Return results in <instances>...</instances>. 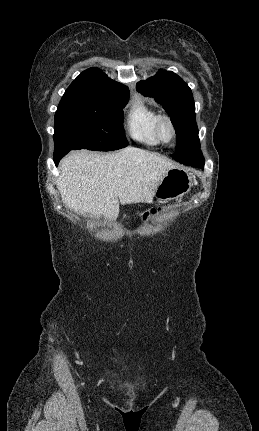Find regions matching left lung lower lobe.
<instances>
[{
	"label": "left lung lower lobe",
	"mask_w": 259,
	"mask_h": 431,
	"mask_svg": "<svg viewBox=\"0 0 259 431\" xmlns=\"http://www.w3.org/2000/svg\"><path fill=\"white\" fill-rule=\"evenodd\" d=\"M197 166L200 167V168H203V166H204V160L201 161L200 163H198Z\"/></svg>",
	"instance_id": "0a47b994"
}]
</instances>
